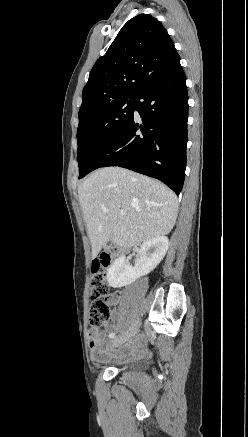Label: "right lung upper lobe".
Returning <instances> with one entry per match:
<instances>
[{"label": "right lung upper lobe", "mask_w": 248, "mask_h": 437, "mask_svg": "<svg viewBox=\"0 0 248 437\" xmlns=\"http://www.w3.org/2000/svg\"><path fill=\"white\" fill-rule=\"evenodd\" d=\"M176 55L173 41L156 18L140 14L130 19L90 72L79 123L116 101L135 97Z\"/></svg>", "instance_id": "right-lung-upper-lobe-1"}]
</instances>
